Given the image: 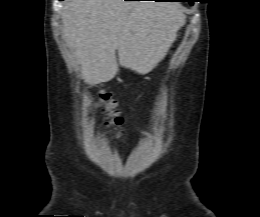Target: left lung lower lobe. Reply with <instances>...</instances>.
I'll return each instance as SVG.
<instances>
[{
  "instance_id": "obj_1",
  "label": "left lung lower lobe",
  "mask_w": 260,
  "mask_h": 217,
  "mask_svg": "<svg viewBox=\"0 0 260 217\" xmlns=\"http://www.w3.org/2000/svg\"><path fill=\"white\" fill-rule=\"evenodd\" d=\"M157 1H171V0H157ZM190 3L192 4L193 2L190 1Z\"/></svg>"
}]
</instances>
